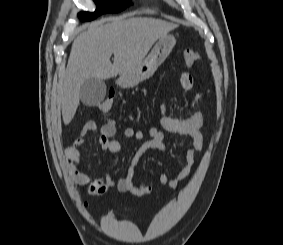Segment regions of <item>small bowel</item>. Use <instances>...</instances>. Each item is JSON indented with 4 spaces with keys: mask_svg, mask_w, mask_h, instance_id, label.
<instances>
[{
    "mask_svg": "<svg viewBox=\"0 0 283 245\" xmlns=\"http://www.w3.org/2000/svg\"><path fill=\"white\" fill-rule=\"evenodd\" d=\"M180 82L184 90H191L194 87L195 80L192 74L185 72L181 75ZM200 98L201 94H196L191 106H194ZM205 120V115L201 112L186 110L181 113H172L163 103L161 104L160 126H152L148 129V139H144L145 134L142 130L127 127L124 130L125 138L139 141L141 144L128 166L126 177L117 180L110 175H106L104 179H92L80 169L79 149L84 143V137L98 129L95 122L89 121L82 127L80 136L66 150L65 155L69 173L75 182L87 185L89 194L93 196L103 195L110 188L139 196L141 193L134 187L133 183L134 172L139 159L148 150L165 152L164 138L166 134H171L190 140V146L185 154V166L170 179L164 174L158 177L160 185H167L174 189L189 176L195 163L196 153L203 148ZM116 134L117 128L113 122H108L99 128L98 143L104 151L118 153L121 150V143L115 138Z\"/></svg>",
    "mask_w": 283,
    "mask_h": 245,
    "instance_id": "c3829d8e",
    "label": "small bowel"
}]
</instances>
